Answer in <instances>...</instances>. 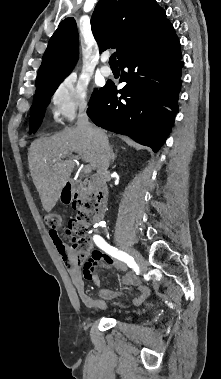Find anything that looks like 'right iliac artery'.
I'll list each match as a JSON object with an SVG mask.
<instances>
[{
  "mask_svg": "<svg viewBox=\"0 0 221 379\" xmlns=\"http://www.w3.org/2000/svg\"><path fill=\"white\" fill-rule=\"evenodd\" d=\"M93 240L99 248H101L103 251H105L109 255L125 262L129 267L134 268L136 266V263L132 256H130L126 252H123L111 246L101 236L94 235Z\"/></svg>",
  "mask_w": 221,
  "mask_h": 379,
  "instance_id": "1",
  "label": "right iliac artery"
}]
</instances>
